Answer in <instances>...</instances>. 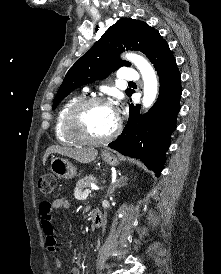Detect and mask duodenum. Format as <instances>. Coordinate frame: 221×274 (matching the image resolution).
Segmentation results:
<instances>
[{
    "label": "duodenum",
    "instance_id": "1",
    "mask_svg": "<svg viewBox=\"0 0 221 274\" xmlns=\"http://www.w3.org/2000/svg\"><path fill=\"white\" fill-rule=\"evenodd\" d=\"M103 215L100 209L95 208L92 212V229L97 230L102 226Z\"/></svg>",
    "mask_w": 221,
    "mask_h": 274
}]
</instances>
